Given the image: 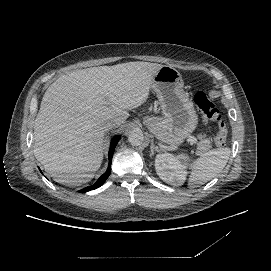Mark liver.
<instances>
[{
  "label": "liver",
  "instance_id": "1",
  "mask_svg": "<svg viewBox=\"0 0 271 271\" xmlns=\"http://www.w3.org/2000/svg\"><path fill=\"white\" fill-rule=\"evenodd\" d=\"M164 67L128 62L72 71L46 90L34 125V156L53 180L90 181L103 158V120L123 124L150 95Z\"/></svg>",
  "mask_w": 271,
  "mask_h": 271
}]
</instances>
